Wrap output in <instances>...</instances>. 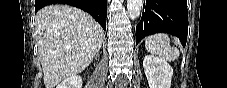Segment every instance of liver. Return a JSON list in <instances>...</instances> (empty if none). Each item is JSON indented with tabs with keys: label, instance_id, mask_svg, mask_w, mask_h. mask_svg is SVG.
Masks as SVG:
<instances>
[{
	"label": "liver",
	"instance_id": "6515ba94",
	"mask_svg": "<svg viewBox=\"0 0 227 88\" xmlns=\"http://www.w3.org/2000/svg\"><path fill=\"white\" fill-rule=\"evenodd\" d=\"M103 29L86 12L53 4L35 16V37L45 88L82 72L99 52Z\"/></svg>",
	"mask_w": 227,
	"mask_h": 88
}]
</instances>
